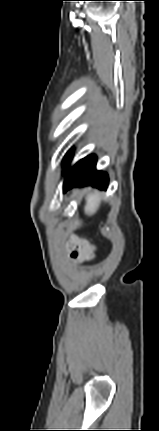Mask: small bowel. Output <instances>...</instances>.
<instances>
[{
	"mask_svg": "<svg viewBox=\"0 0 159 431\" xmlns=\"http://www.w3.org/2000/svg\"><path fill=\"white\" fill-rule=\"evenodd\" d=\"M71 258L77 262H83L94 257V248L87 243H78L70 254Z\"/></svg>",
	"mask_w": 159,
	"mask_h": 431,
	"instance_id": "1",
	"label": "small bowel"
}]
</instances>
